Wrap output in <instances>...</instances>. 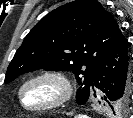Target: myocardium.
I'll list each match as a JSON object with an SVG mask.
<instances>
[{
	"mask_svg": "<svg viewBox=\"0 0 133 118\" xmlns=\"http://www.w3.org/2000/svg\"><path fill=\"white\" fill-rule=\"evenodd\" d=\"M36 80H46L54 83L59 90L57 98L46 104L32 107L27 106L23 98L24 90L30 83ZM73 92L74 88L72 81L65 72L57 69H44L30 74L22 81L18 89V100L22 108L26 111L46 112L57 109L68 103L72 98Z\"/></svg>",
	"mask_w": 133,
	"mask_h": 118,
	"instance_id": "myocardium-1",
	"label": "myocardium"
}]
</instances>
